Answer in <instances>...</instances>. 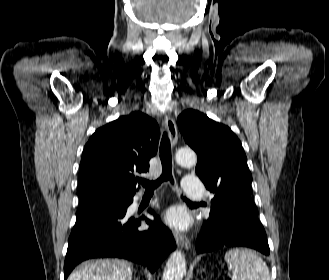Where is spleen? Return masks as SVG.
<instances>
[{
    "label": "spleen",
    "mask_w": 329,
    "mask_h": 280,
    "mask_svg": "<svg viewBox=\"0 0 329 280\" xmlns=\"http://www.w3.org/2000/svg\"><path fill=\"white\" fill-rule=\"evenodd\" d=\"M232 280H272L264 261L252 250L235 248L225 254Z\"/></svg>",
    "instance_id": "1"
}]
</instances>
